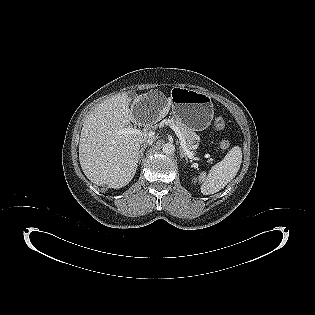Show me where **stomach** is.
I'll list each match as a JSON object with an SVG mask.
<instances>
[{"mask_svg": "<svg viewBox=\"0 0 315 315\" xmlns=\"http://www.w3.org/2000/svg\"><path fill=\"white\" fill-rule=\"evenodd\" d=\"M174 118L193 131L206 129L214 115L211 97L199 90L174 87L169 97Z\"/></svg>", "mask_w": 315, "mask_h": 315, "instance_id": "obj_1", "label": "stomach"}]
</instances>
